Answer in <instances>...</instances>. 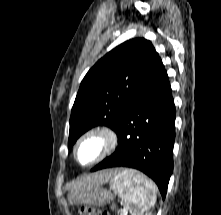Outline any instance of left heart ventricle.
I'll list each match as a JSON object with an SVG mask.
<instances>
[{
    "mask_svg": "<svg viewBox=\"0 0 221 215\" xmlns=\"http://www.w3.org/2000/svg\"><path fill=\"white\" fill-rule=\"evenodd\" d=\"M97 151V143L95 141H90L86 143L80 150V159L82 161L90 160Z\"/></svg>",
    "mask_w": 221,
    "mask_h": 215,
    "instance_id": "obj_1",
    "label": "left heart ventricle"
}]
</instances>
